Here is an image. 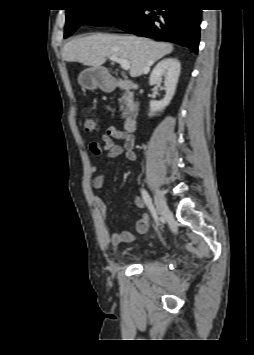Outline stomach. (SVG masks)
Wrapping results in <instances>:
<instances>
[{
    "label": "stomach",
    "instance_id": "0dacf381",
    "mask_svg": "<svg viewBox=\"0 0 254 355\" xmlns=\"http://www.w3.org/2000/svg\"><path fill=\"white\" fill-rule=\"evenodd\" d=\"M79 83L86 89L94 90L101 88L111 89L114 85L113 80L104 68H87L78 77Z\"/></svg>",
    "mask_w": 254,
    "mask_h": 355
}]
</instances>
